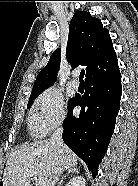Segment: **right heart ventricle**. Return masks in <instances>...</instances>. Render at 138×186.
Segmentation results:
<instances>
[{
    "label": "right heart ventricle",
    "instance_id": "e07e8e85",
    "mask_svg": "<svg viewBox=\"0 0 138 186\" xmlns=\"http://www.w3.org/2000/svg\"><path fill=\"white\" fill-rule=\"evenodd\" d=\"M30 128H31V131L34 135H36V136L43 135V133L41 132L40 128L37 125L34 111L30 117Z\"/></svg>",
    "mask_w": 138,
    "mask_h": 186
}]
</instances>
